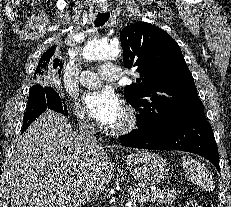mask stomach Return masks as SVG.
Segmentation results:
<instances>
[{
	"label": "stomach",
	"instance_id": "0dacf381",
	"mask_svg": "<svg viewBox=\"0 0 231 207\" xmlns=\"http://www.w3.org/2000/svg\"><path fill=\"white\" fill-rule=\"evenodd\" d=\"M131 175L141 184L153 185L166 178L169 172L167 162L149 150H139L126 158Z\"/></svg>",
	"mask_w": 231,
	"mask_h": 207
}]
</instances>
